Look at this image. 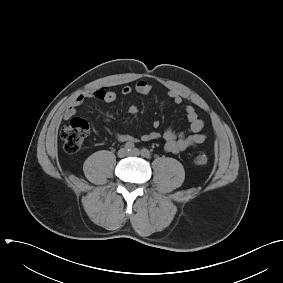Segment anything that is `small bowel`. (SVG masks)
<instances>
[{
  "mask_svg": "<svg viewBox=\"0 0 283 283\" xmlns=\"http://www.w3.org/2000/svg\"><path fill=\"white\" fill-rule=\"evenodd\" d=\"M153 90V86L145 81L139 80L134 87L124 86L121 90L123 95H129L132 92L141 95H147ZM169 98L175 104H181L183 102V97L176 91H168ZM86 99H98L106 103H111L115 101V92L99 88L95 90L88 91L84 94L77 96L65 109L64 119L68 120L75 115L76 110ZM128 112L130 114H136L138 108L136 105H130L128 107ZM184 112L187 120L189 121V129L187 133H178L172 128L165 129L162 133L157 129L160 126L159 121L153 122V129L142 134L139 137H134L129 134L115 133L114 136L119 142H139V141H152L157 139H163L165 142L164 149L166 152L179 154L186 151L189 148L196 147L202 144L207 139V134L202 132L205 126V122L201 119L192 105H186L184 107Z\"/></svg>",
  "mask_w": 283,
  "mask_h": 283,
  "instance_id": "1",
  "label": "small bowel"
}]
</instances>
